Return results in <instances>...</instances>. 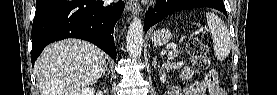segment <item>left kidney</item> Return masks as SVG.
Segmentation results:
<instances>
[{
	"instance_id": "left-kidney-1",
	"label": "left kidney",
	"mask_w": 277,
	"mask_h": 95,
	"mask_svg": "<svg viewBox=\"0 0 277 95\" xmlns=\"http://www.w3.org/2000/svg\"><path fill=\"white\" fill-rule=\"evenodd\" d=\"M160 80L162 83L166 82V73H165V68H162V70L159 73Z\"/></svg>"
}]
</instances>
